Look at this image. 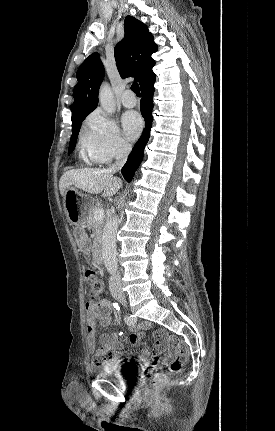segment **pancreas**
<instances>
[{
	"instance_id": "pancreas-1",
	"label": "pancreas",
	"mask_w": 275,
	"mask_h": 431,
	"mask_svg": "<svg viewBox=\"0 0 275 431\" xmlns=\"http://www.w3.org/2000/svg\"><path fill=\"white\" fill-rule=\"evenodd\" d=\"M101 207H102L101 200H97L96 204L91 207L89 214H88V217H87V220H86L87 227L93 230V239H94L95 245L101 239L103 220H95L93 218V213L95 210H97L98 208H101Z\"/></svg>"
}]
</instances>
